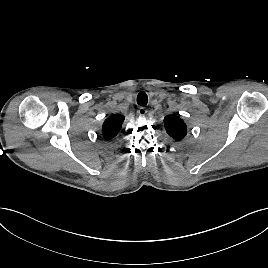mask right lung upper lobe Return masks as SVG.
Returning a JSON list of instances; mask_svg holds the SVG:
<instances>
[{"label": "right lung upper lobe", "instance_id": "cb5924a9", "mask_svg": "<svg viewBox=\"0 0 268 268\" xmlns=\"http://www.w3.org/2000/svg\"><path fill=\"white\" fill-rule=\"evenodd\" d=\"M124 116L120 114H114L109 116L103 123L102 134L107 140L115 138L121 130L124 122Z\"/></svg>", "mask_w": 268, "mask_h": 268}]
</instances>
